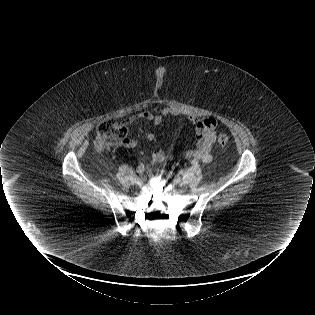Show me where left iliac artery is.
I'll list each match as a JSON object with an SVG mask.
<instances>
[{
    "mask_svg": "<svg viewBox=\"0 0 315 315\" xmlns=\"http://www.w3.org/2000/svg\"><path fill=\"white\" fill-rule=\"evenodd\" d=\"M192 164H193V165H196V164H197V161L194 160V161L192 162ZM183 173H184V172L181 170V171H180V174H183Z\"/></svg>",
    "mask_w": 315,
    "mask_h": 315,
    "instance_id": "left-iliac-artery-1",
    "label": "left iliac artery"
}]
</instances>
